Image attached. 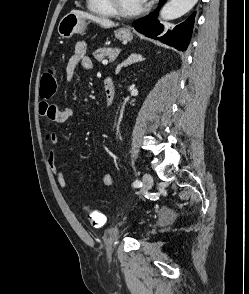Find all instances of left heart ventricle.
Wrapping results in <instances>:
<instances>
[{"label":"left heart ventricle","instance_id":"left-heart-ventricle-1","mask_svg":"<svg viewBox=\"0 0 249 294\" xmlns=\"http://www.w3.org/2000/svg\"><path fill=\"white\" fill-rule=\"evenodd\" d=\"M118 1H119V5L125 10H136L143 5L141 0H118Z\"/></svg>","mask_w":249,"mask_h":294}]
</instances>
